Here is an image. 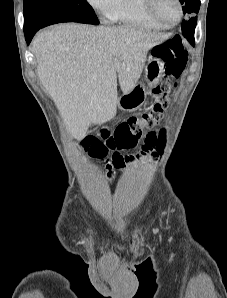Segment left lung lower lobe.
Returning a JSON list of instances; mask_svg holds the SVG:
<instances>
[{
    "instance_id": "1",
    "label": "left lung lower lobe",
    "mask_w": 227,
    "mask_h": 298,
    "mask_svg": "<svg viewBox=\"0 0 227 298\" xmlns=\"http://www.w3.org/2000/svg\"><path fill=\"white\" fill-rule=\"evenodd\" d=\"M192 45H194L195 43H194V40H192V41H189Z\"/></svg>"
}]
</instances>
